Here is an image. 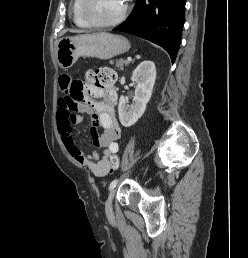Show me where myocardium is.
<instances>
[{"label": "myocardium", "instance_id": "obj_1", "mask_svg": "<svg viewBox=\"0 0 248 258\" xmlns=\"http://www.w3.org/2000/svg\"><path fill=\"white\" fill-rule=\"evenodd\" d=\"M86 2H87V0H80L81 16L83 17V19L85 20V22L87 23L88 26L96 27V28H105V27H112V26L118 25L126 17L128 7H129L128 0H124L122 10L116 18H114L110 21H106V22H97V21L92 20L88 16L87 11H86Z\"/></svg>", "mask_w": 248, "mask_h": 258}]
</instances>
